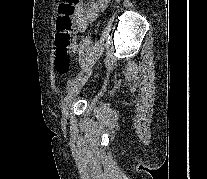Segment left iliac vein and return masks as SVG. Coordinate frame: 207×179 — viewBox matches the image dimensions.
I'll return each instance as SVG.
<instances>
[{"instance_id": "left-iliac-vein-1", "label": "left iliac vein", "mask_w": 207, "mask_h": 179, "mask_svg": "<svg viewBox=\"0 0 207 179\" xmlns=\"http://www.w3.org/2000/svg\"><path fill=\"white\" fill-rule=\"evenodd\" d=\"M91 74V71L84 75L83 77H81L73 86L72 88L68 91L66 97L63 100V104H62V113L64 118H67L68 114H69V107L72 103V101L75 99V97L77 96V94L79 93L80 89L83 87V85L86 83V81L88 80L89 76Z\"/></svg>"}]
</instances>
